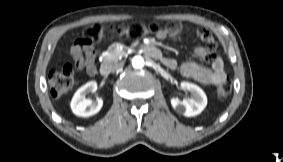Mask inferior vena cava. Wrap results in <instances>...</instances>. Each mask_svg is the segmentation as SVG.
I'll return each instance as SVG.
<instances>
[{"instance_id": "1", "label": "inferior vena cava", "mask_w": 283, "mask_h": 162, "mask_svg": "<svg viewBox=\"0 0 283 162\" xmlns=\"http://www.w3.org/2000/svg\"><path fill=\"white\" fill-rule=\"evenodd\" d=\"M122 67H123V64H122V63L115 64V65L112 67L111 71H112V72H116V71L122 69Z\"/></svg>"}]
</instances>
